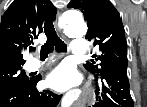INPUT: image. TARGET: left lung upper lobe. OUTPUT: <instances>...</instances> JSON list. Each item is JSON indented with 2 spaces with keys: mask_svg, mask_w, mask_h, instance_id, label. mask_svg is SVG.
I'll return each mask as SVG.
<instances>
[{
  "mask_svg": "<svg viewBox=\"0 0 147 107\" xmlns=\"http://www.w3.org/2000/svg\"><path fill=\"white\" fill-rule=\"evenodd\" d=\"M68 8L79 9L88 21L86 39L94 40L101 55L96 63L88 62L84 67L95 77L115 66L128 65L127 45L122 19L109 0H71Z\"/></svg>",
  "mask_w": 147,
  "mask_h": 107,
  "instance_id": "obj_1",
  "label": "left lung upper lobe"
}]
</instances>
